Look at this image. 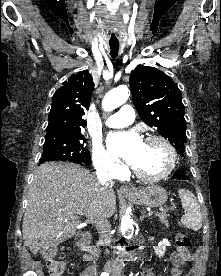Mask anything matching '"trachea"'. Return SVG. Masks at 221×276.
<instances>
[{
  "mask_svg": "<svg viewBox=\"0 0 221 276\" xmlns=\"http://www.w3.org/2000/svg\"><path fill=\"white\" fill-rule=\"evenodd\" d=\"M110 45V55L112 56V58H116L118 55V51H119V42H109Z\"/></svg>",
  "mask_w": 221,
  "mask_h": 276,
  "instance_id": "trachea-1",
  "label": "trachea"
}]
</instances>
